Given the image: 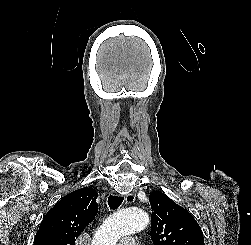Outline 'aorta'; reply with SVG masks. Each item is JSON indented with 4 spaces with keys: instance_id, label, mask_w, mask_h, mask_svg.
Listing matches in <instances>:
<instances>
[{
    "instance_id": "1",
    "label": "aorta",
    "mask_w": 251,
    "mask_h": 245,
    "mask_svg": "<svg viewBox=\"0 0 251 245\" xmlns=\"http://www.w3.org/2000/svg\"><path fill=\"white\" fill-rule=\"evenodd\" d=\"M149 224L148 214L138 208H127L109 216L96 231L92 245H116L125 236L145 229Z\"/></svg>"
}]
</instances>
